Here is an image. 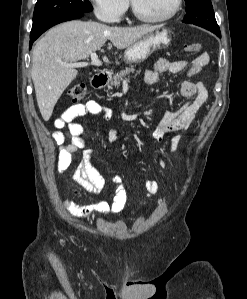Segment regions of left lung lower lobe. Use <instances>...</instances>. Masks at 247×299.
I'll list each match as a JSON object with an SVG mask.
<instances>
[{
    "mask_svg": "<svg viewBox=\"0 0 247 299\" xmlns=\"http://www.w3.org/2000/svg\"><path fill=\"white\" fill-rule=\"evenodd\" d=\"M194 25H197V26H200V27H203L211 32H213L214 34H216L219 38H221V33H220V30H213V29H210L208 27H205L203 25H200V24H194Z\"/></svg>",
    "mask_w": 247,
    "mask_h": 299,
    "instance_id": "obj_1",
    "label": "left lung lower lobe"
}]
</instances>
